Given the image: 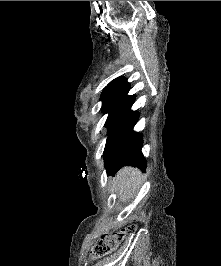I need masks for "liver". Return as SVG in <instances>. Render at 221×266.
Wrapping results in <instances>:
<instances>
[{
	"mask_svg": "<svg viewBox=\"0 0 221 266\" xmlns=\"http://www.w3.org/2000/svg\"><path fill=\"white\" fill-rule=\"evenodd\" d=\"M142 182L141 172L132 167L121 169L113 179V189L117 192L122 202L130 201L138 192Z\"/></svg>",
	"mask_w": 221,
	"mask_h": 266,
	"instance_id": "1",
	"label": "liver"
}]
</instances>
